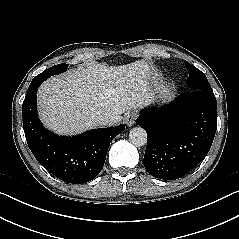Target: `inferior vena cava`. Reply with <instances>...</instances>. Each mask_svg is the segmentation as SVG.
<instances>
[{
	"instance_id": "inferior-vena-cava-1",
	"label": "inferior vena cava",
	"mask_w": 239,
	"mask_h": 239,
	"mask_svg": "<svg viewBox=\"0 0 239 239\" xmlns=\"http://www.w3.org/2000/svg\"><path fill=\"white\" fill-rule=\"evenodd\" d=\"M113 121L114 119L112 117L106 115H98L96 117V122L100 126L111 125Z\"/></svg>"
}]
</instances>
